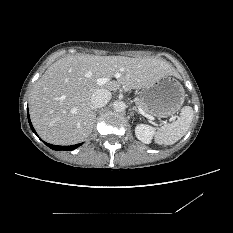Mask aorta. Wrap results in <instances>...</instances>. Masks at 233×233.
Masks as SVG:
<instances>
[{
	"instance_id": "aorta-1",
	"label": "aorta",
	"mask_w": 233,
	"mask_h": 233,
	"mask_svg": "<svg viewBox=\"0 0 233 233\" xmlns=\"http://www.w3.org/2000/svg\"><path fill=\"white\" fill-rule=\"evenodd\" d=\"M113 108L116 112H123L126 109V104L123 101H116L113 104Z\"/></svg>"
}]
</instances>
